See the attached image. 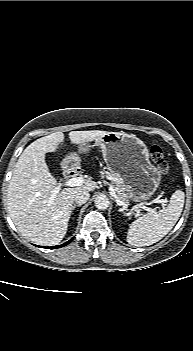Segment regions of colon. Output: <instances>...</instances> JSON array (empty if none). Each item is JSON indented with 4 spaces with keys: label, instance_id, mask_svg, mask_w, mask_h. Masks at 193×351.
Masks as SVG:
<instances>
[{
    "label": "colon",
    "instance_id": "colon-1",
    "mask_svg": "<svg viewBox=\"0 0 193 351\" xmlns=\"http://www.w3.org/2000/svg\"><path fill=\"white\" fill-rule=\"evenodd\" d=\"M150 156L152 162L157 166V168L162 172V173H167L168 172V164L164 158V154L162 149L154 145L150 149Z\"/></svg>",
    "mask_w": 193,
    "mask_h": 351
}]
</instances>
